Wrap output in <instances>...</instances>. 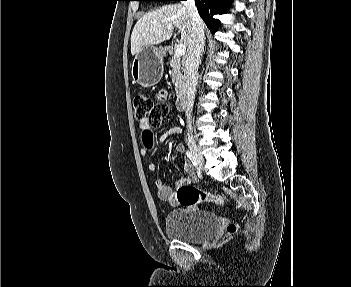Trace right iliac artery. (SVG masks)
Returning <instances> with one entry per match:
<instances>
[{
  "instance_id": "right-iliac-artery-1",
  "label": "right iliac artery",
  "mask_w": 351,
  "mask_h": 287,
  "mask_svg": "<svg viewBox=\"0 0 351 287\" xmlns=\"http://www.w3.org/2000/svg\"><path fill=\"white\" fill-rule=\"evenodd\" d=\"M186 155L190 159L192 165L198 169L196 159H195L194 155L192 154V152L186 151Z\"/></svg>"
}]
</instances>
